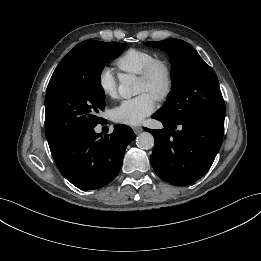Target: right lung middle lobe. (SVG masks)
<instances>
[{
	"label": "right lung middle lobe",
	"mask_w": 261,
	"mask_h": 261,
	"mask_svg": "<svg viewBox=\"0 0 261 261\" xmlns=\"http://www.w3.org/2000/svg\"><path fill=\"white\" fill-rule=\"evenodd\" d=\"M125 46L86 40L72 49L70 67L47 87L45 131L50 149L102 123L104 119L98 117L105 108L101 73L105 63L119 56Z\"/></svg>",
	"instance_id": "right-lung-middle-lobe-1"
}]
</instances>
